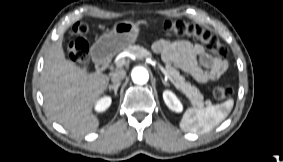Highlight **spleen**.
<instances>
[{"instance_id":"1","label":"spleen","mask_w":283,"mask_h":162,"mask_svg":"<svg viewBox=\"0 0 283 162\" xmlns=\"http://www.w3.org/2000/svg\"><path fill=\"white\" fill-rule=\"evenodd\" d=\"M234 105L233 99L222 104L188 108L180 121V128L185 132L206 133L220 124L230 114Z\"/></svg>"}]
</instances>
